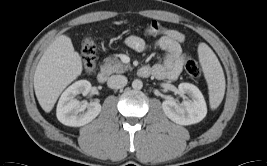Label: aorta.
I'll return each instance as SVG.
<instances>
[{"mask_svg": "<svg viewBox=\"0 0 267 166\" xmlns=\"http://www.w3.org/2000/svg\"><path fill=\"white\" fill-rule=\"evenodd\" d=\"M132 87H133V89H135V90H140V89H142V87H143V83H142L141 80L136 79V80H134V81L132 82Z\"/></svg>", "mask_w": 267, "mask_h": 166, "instance_id": "obj_1", "label": "aorta"}]
</instances>
